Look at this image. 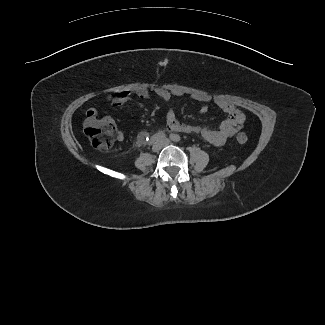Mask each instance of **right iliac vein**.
Segmentation results:
<instances>
[{
    "label": "right iliac vein",
    "instance_id": "63e3f726",
    "mask_svg": "<svg viewBox=\"0 0 325 325\" xmlns=\"http://www.w3.org/2000/svg\"><path fill=\"white\" fill-rule=\"evenodd\" d=\"M162 147H163V141H158V142L154 143V145L152 146V150L154 152H158L162 149Z\"/></svg>",
    "mask_w": 325,
    "mask_h": 325
}]
</instances>
